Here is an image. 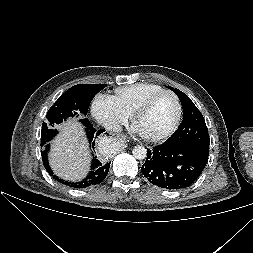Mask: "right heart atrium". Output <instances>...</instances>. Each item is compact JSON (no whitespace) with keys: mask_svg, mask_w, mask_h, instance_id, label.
<instances>
[{"mask_svg":"<svg viewBox=\"0 0 253 253\" xmlns=\"http://www.w3.org/2000/svg\"><path fill=\"white\" fill-rule=\"evenodd\" d=\"M93 118L109 131H117L128 117L124 115L115 104L111 96L99 94L91 105Z\"/></svg>","mask_w":253,"mask_h":253,"instance_id":"obj_1","label":"right heart atrium"}]
</instances>
